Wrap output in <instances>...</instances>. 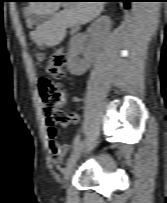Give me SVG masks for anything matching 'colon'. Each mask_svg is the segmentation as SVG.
Masks as SVG:
<instances>
[{
  "mask_svg": "<svg viewBox=\"0 0 167 203\" xmlns=\"http://www.w3.org/2000/svg\"><path fill=\"white\" fill-rule=\"evenodd\" d=\"M40 59L42 60L43 58L41 57ZM66 64V52L62 49H56L46 64V71L53 79L60 80L64 77ZM37 86L48 125L55 128L54 124L67 125L72 121V115L58 109L64 101L63 90L58 88L53 80L48 77L39 78Z\"/></svg>",
  "mask_w": 167,
  "mask_h": 203,
  "instance_id": "1",
  "label": "colon"
}]
</instances>
